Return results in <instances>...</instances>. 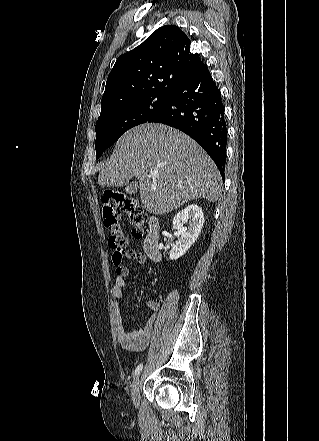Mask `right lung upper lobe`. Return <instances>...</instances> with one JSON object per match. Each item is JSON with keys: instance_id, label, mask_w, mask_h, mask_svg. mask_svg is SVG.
I'll return each mask as SVG.
<instances>
[{"instance_id": "1", "label": "right lung upper lobe", "mask_w": 319, "mask_h": 441, "mask_svg": "<svg viewBox=\"0 0 319 441\" xmlns=\"http://www.w3.org/2000/svg\"><path fill=\"white\" fill-rule=\"evenodd\" d=\"M205 67L191 52V40L175 25L154 31L141 45L120 56L108 75L101 111L148 96H168Z\"/></svg>"}]
</instances>
